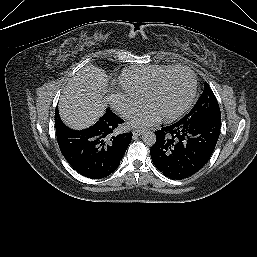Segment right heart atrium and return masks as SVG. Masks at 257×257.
Instances as JSON below:
<instances>
[{
  "label": "right heart atrium",
  "instance_id": "d8ad5b80",
  "mask_svg": "<svg viewBox=\"0 0 257 257\" xmlns=\"http://www.w3.org/2000/svg\"><path fill=\"white\" fill-rule=\"evenodd\" d=\"M112 107L123 117L133 115L142 104L141 98L128 93L127 91H118L110 96Z\"/></svg>",
  "mask_w": 257,
  "mask_h": 257
}]
</instances>
